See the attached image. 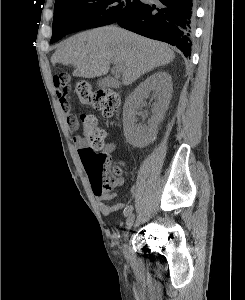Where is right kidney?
I'll use <instances>...</instances> for the list:
<instances>
[{
	"label": "right kidney",
	"instance_id": "1",
	"mask_svg": "<svg viewBox=\"0 0 245 300\" xmlns=\"http://www.w3.org/2000/svg\"><path fill=\"white\" fill-rule=\"evenodd\" d=\"M152 93L156 98L153 116L148 126L137 123V113L144 100ZM172 97V78L159 71L143 81L126 99L123 107L124 135L134 147H145L156 139L157 126L163 120Z\"/></svg>",
	"mask_w": 245,
	"mask_h": 300
}]
</instances>
